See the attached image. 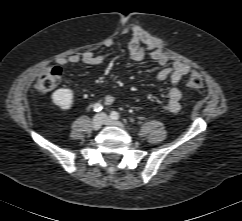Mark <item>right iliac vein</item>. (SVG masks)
<instances>
[{
  "mask_svg": "<svg viewBox=\"0 0 242 221\" xmlns=\"http://www.w3.org/2000/svg\"><path fill=\"white\" fill-rule=\"evenodd\" d=\"M103 125V119L100 115H96L92 120V128L94 130H99Z\"/></svg>",
  "mask_w": 242,
  "mask_h": 221,
  "instance_id": "right-iliac-vein-1",
  "label": "right iliac vein"
}]
</instances>
